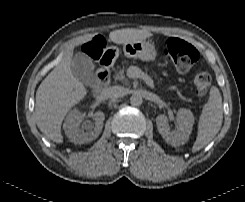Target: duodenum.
<instances>
[{
    "instance_id": "obj_1",
    "label": "duodenum",
    "mask_w": 245,
    "mask_h": 202,
    "mask_svg": "<svg viewBox=\"0 0 245 202\" xmlns=\"http://www.w3.org/2000/svg\"><path fill=\"white\" fill-rule=\"evenodd\" d=\"M111 62L112 59L109 56H103L99 62V68L94 83V87L98 91L104 89L109 84Z\"/></svg>"
}]
</instances>
